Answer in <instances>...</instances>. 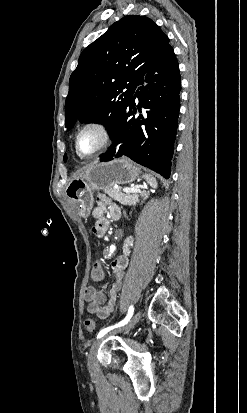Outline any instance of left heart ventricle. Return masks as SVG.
<instances>
[{
  "instance_id": "obj_1",
  "label": "left heart ventricle",
  "mask_w": 247,
  "mask_h": 413,
  "mask_svg": "<svg viewBox=\"0 0 247 413\" xmlns=\"http://www.w3.org/2000/svg\"><path fill=\"white\" fill-rule=\"evenodd\" d=\"M103 135L99 130L89 129L80 136V147L85 154L94 151L102 142Z\"/></svg>"
}]
</instances>
